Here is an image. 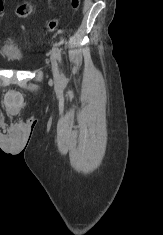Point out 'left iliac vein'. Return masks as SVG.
I'll return each mask as SVG.
<instances>
[{"mask_svg": "<svg viewBox=\"0 0 163 235\" xmlns=\"http://www.w3.org/2000/svg\"><path fill=\"white\" fill-rule=\"evenodd\" d=\"M51 66H52V73L54 80L56 83H59L60 82L59 66L54 51L51 55Z\"/></svg>", "mask_w": 163, "mask_h": 235, "instance_id": "4c4485c4", "label": "left iliac vein"}]
</instances>
